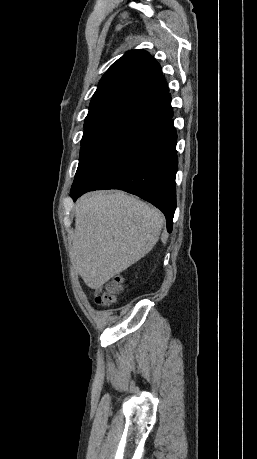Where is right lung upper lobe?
<instances>
[{"mask_svg": "<svg viewBox=\"0 0 257 459\" xmlns=\"http://www.w3.org/2000/svg\"><path fill=\"white\" fill-rule=\"evenodd\" d=\"M168 94V86L156 60L144 50H132L119 58L101 78L89 113L111 108L140 112Z\"/></svg>", "mask_w": 257, "mask_h": 459, "instance_id": "obj_1", "label": "right lung upper lobe"}]
</instances>
